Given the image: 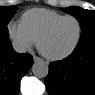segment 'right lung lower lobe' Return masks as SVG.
I'll list each match as a JSON object with an SVG mask.
<instances>
[{
	"instance_id": "right-lung-lower-lobe-1",
	"label": "right lung lower lobe",
	"mask_w": 95,
	"mask_h": 95,
	"mask_svg": "<svg viewBox=\"0 0 95 95\" xmlns=\"http://www.w3.org/2000/svg\"><path fill=\"white\" fill-rule=\"evenodd\" d=\"M32 64L31 55L15 52L10 39L0 37V95H17L20 80Z\"/></svg>"
}]
</instances>
